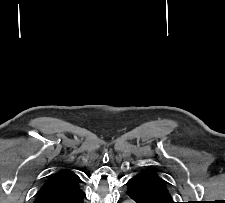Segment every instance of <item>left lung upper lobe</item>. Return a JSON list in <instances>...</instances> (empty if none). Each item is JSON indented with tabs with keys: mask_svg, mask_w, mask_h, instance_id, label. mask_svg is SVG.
Masks as SVG:
<instances>
[{
	"mask_svg": "<svg viewBox=\"0 0 225 203\" xmlns=\"http://www.w3.org/2000/svg\"><path fill=\"white\" fill-rule=\"evenodd\" d=\"M132 179L136 180L150 197L160 203H174L168 189V182L156 172L151 170L141 171L133 176Z\"/></svg>",
	"mask_w": 225,
	"mask_h": 203,
	"instance_id": "obj_1",
	"label": "left lung upper lobe"
}]
</instances>
